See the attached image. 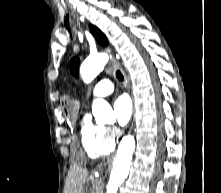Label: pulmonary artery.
Segmentation results:
<instances>
[{
    "mask_svg": "<svg viewBox=\"0 0 221 193\" xmlns=\"http://www.w3.org/2000/svg\"><path fill=\"white\" fill-rule=\"evenodd\" d=\"M113 90H114V85L111 82V80L104 78L101 79L94 87L92 91V97L93 98L103 97L111 94Z\"/></svg>",
    "mask_w": 221,
    "mask_h": 193,
    "instance_id": "e3ab8cb5",
    "label": "pulmonary artery"
}]
</instances>
